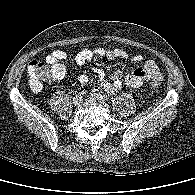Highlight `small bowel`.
Here are the masks:
<instances>
[{
  "mask_svg": "<svg viewBox=\"0 0 195 195\" xmlns=\"http://www.w3.org/2000/svg\"><path fill=\"white\" fill-rule=\"evenodd\" d=\"M95 56L104 57L110 61L114 59H127L129 56L127 52L122 49H83L79 51L75 56V64L82 66L86 63L91 62ZM67 57V54L63 50H56L51 52L47 56V60L50 62H58ZM132 61L137 63L139 67L133 70L129 75L125 77V85L130 90H138L145 81L153 80L156 78H163V75L158 65L150 59L144 58L142 55H134ZM100 78V88L110 94L116 93L122 87L120 70L116 71L110 79L105 77V74L100 69H95ZM89 78L86 74H80L78 76V82L82 85L88 82Z\"/></svg>",
  "mask_w": 195,
  "mask_h": 195,
  "instance_id": "small-bowel-1",
  "label": "small bowel"
}]
</instances>
